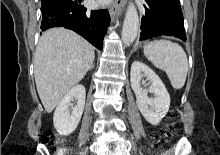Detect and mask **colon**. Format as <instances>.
I'll return each mask as SVG.
<instances>
[{"label": "colon", "mask_w": 220, "mask_h": 155, "mask_svg": "<svg viewBox=\"0 0 220 155\" xmlns=\"http://www.w3.org/2000/svg\"><path fill=\"white\" fill-rule=\"evenodd\" d=\"M162 136L165 138L167 135L164 133Z\"/></svg>", "instance_id": "obj_1"}]
</instances>
